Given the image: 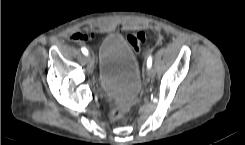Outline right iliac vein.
Wrapping results in <instances>:
<instances>
[{"label": "right iliac vein", "mask_w": 245, "mask_h": 145, "mask_svg": "<svg viewBox=\"0 0 245 145\" xmlns=\"http://www.w3.org/2000/svg\"><path fill=\"white\" fill-rule=\"evenodd\" d=\"M87 67L90 72L94 71V59L91 55L87 57Z\"/></svg>", "instance_id": "obj_1"}]
</instances>
